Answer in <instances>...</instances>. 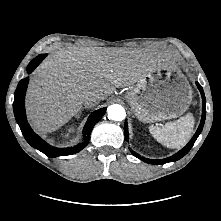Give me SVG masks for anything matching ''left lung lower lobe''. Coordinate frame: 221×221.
<instances>
[{
    "label": "left lung lower lobe",
    "instance_id": "obj_1",
    "mask_svg": "<svg viewBox=\"0 0 221 221\" xmlns=\"http://www.w3.org/2000/svg\"><path fill=\"white\" fill-rule=\"evenodd\" d=\"M197 87L201 93V96H202V100H203V108H202V118H201V122H200V125L195 133V135L193 136V138L190 140V142L182 149L180 150L178 153L174 154L173 156L171 157H168V158H165V159H160V160H153V159H147V158H144V157H141L139 154L131 151V153L143 160L144 162L146 163H149V164H157V165H160V164H165V163H168V162H174V161H177L179 160L180 158H182L183 156H185L189 150L191 149V147L194 145L196 139L198 138V136L200 135L202 129H203V126H204V122H205V117H206V100H205V95H204V91H203V88L201 87V85L197 82ZM124 133H125V138L128 140V126H127V121H125V124H124Z\"/></svg>",
    "mask_w": 221,
    "mask_h": 221
}]
</instances>
